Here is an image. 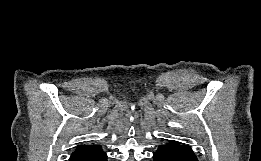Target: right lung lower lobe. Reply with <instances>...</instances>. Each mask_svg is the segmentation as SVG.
Masks as SVG:
<instances>
[{
  "instance_id": "right-lung-lower-lobe-1",
  "label": "right lung lower lobe",
  "mask_w": 261,
  "mask_h": 161,
  "mask_svg": "<svg viewBox=\"0 0 261 161\" xmlns=\"http://www.w3.org/2000/svg\"><path fill=\"white\" fill-rule=\"evenodd\" d=\"M69 161H107V155L100 145H86L78 147Z\"/></svg>"
}]
</instances>
